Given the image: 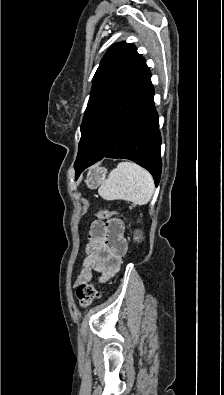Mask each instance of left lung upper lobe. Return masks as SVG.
<instances>
[{"mask_svg": "<svg viewBox=\"0 0 224 395\" xmlns=\"http://www.w3.org/2000/svg\"><path fill=\"white\" fill-rule=\"evenodd\" d=\"M146 65L133 44L125 42L111 46L93 78V86L81 124V139L76 162L87 145L93 124L100 111L131 82Z\"/></svg>", "mask_w": 224, "mask_h": 395, "instance_id": "1", "label": "left lung upper lobe"}]
</instances>
